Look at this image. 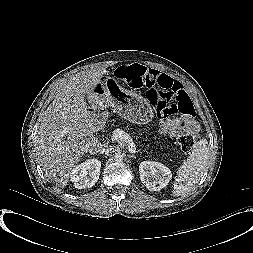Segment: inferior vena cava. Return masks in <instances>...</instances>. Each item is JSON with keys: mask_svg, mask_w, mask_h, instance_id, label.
Here are the masks:
<instances>
[{"mask_svg": "<svg viewBox=\"0 0 253 253\" xmlns=\"http://www.w3.org/2000/svg\"><path fill=\"white\" fill-rule=\"evenodd\" d=\"M111 151H112V148H109V147L103 149V152H105V153H109Z\"/></svg>", "mask_w": 253, "mask_h": 253, "instance_id": "obj_1", "label": "inferior vena cava"}]
</instances>
